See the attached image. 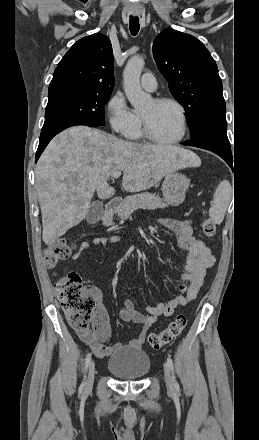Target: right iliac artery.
Wrapping results in <instances>:
<instances>
[{"label": "right iliac artery", "instance_id": "obj_1", "mask_svg": "<svg viewBox=\"0 0 259 440\" xmlns=\"http://www.w3.org/2000/svg\"><path fill=\"white\" fill-rule=\"evenodd\" d=\"M90 362H91V353L88 354V356L86 357V360H85V370H87L88 366L90 365ZM84 387H85V382H83L81 384L80 389L83 390Z\"/></svg>", "mask_w": 259, "mask_h": 440}]
</instances>
